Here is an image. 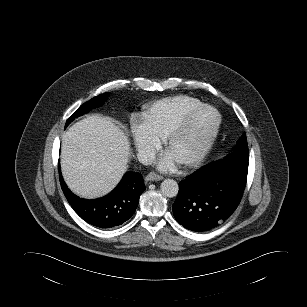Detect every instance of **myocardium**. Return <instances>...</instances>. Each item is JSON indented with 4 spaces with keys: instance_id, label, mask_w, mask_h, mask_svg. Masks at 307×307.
Segmentation results:
<instances>
[{
    "instance_id": "obj_1",
    "label": "myocardium",
    "mask_w": 307,
    "mask_h": 307,
    "mask_svg": "<svg viewBox=\"0 0 307 307\" xmlns=\"http://www.w3.org/2000/svg\"><path fill=\"white\" fill-rule=\"evenodd\" d=\"M203 109L211 110L215 114V124L198 148L189 157L179 162L183 166H191L200 162L211 149L221 126L222 119L219 111L214 106L204 103L190 108L182 115L180 120L164 139V148L168 151L171 144L183 134L192 116Z\"/></svg>"
}]
</instances>
